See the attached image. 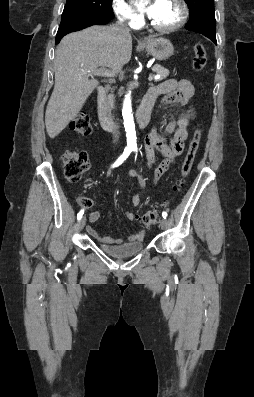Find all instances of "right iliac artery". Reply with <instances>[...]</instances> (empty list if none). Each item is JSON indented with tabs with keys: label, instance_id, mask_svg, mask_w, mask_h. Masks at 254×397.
Masks as SVG:
<instances>
[{
	"label": "right iliac artery",
	"instance_id": "1",
	"mask_svg": "<svg viewBox=\"0 0 254 397\" xmlns=\"http://www.w3.org/2000/svg\"><path fill=\"white\" fill-rule=\"evenodd\" d=\"M132 149L131 148H125L123 154L115 161V163L112 165V167H117L119 165H121L130 155ZM84 210H81L78 214H77V219L80 220L83 216Z\"/></svg>",
	"mask_w": 254,
	"mask_h": 397
}]
</instances>
